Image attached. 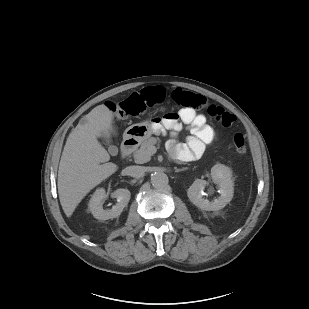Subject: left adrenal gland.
Returning <instances> with one entry per match:
<instances>
[{"mask_svg": "<svg viewBox=\"0 0 309 309\" xmlns=\"http://www.w3.org/2000/svg\"><path fill=\"white\" fill-rule=\"evenodd\" d=\"M186 169H188V168L186 167V168H182V169H177V168L175 167V172L184 171V170H186Z\"/></svg>", "mask_w": 309, "mask_h": 309, "instance_id": "1", "label": "left adrenal gland"}]
</instances>
